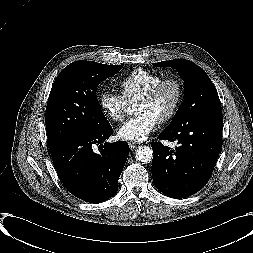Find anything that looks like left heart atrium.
<instances>
[{
    "instance_id": "39dd6f15",
    "label": "left heart atrium",
    "mask_w": 253,
    "mask_h": 253,
    "mask_svg": "<svg viewBox=\"0 0 253 253\" xmlns=\"http://www.w3.org/2000/svg\"><path fill=\"white\" fill-rule=\"evenodd\" d=\"M158 121L148 114H141L125 122L117 131L120 139L141 142L155 130Z\"/></svg>"
}]
</instances>
